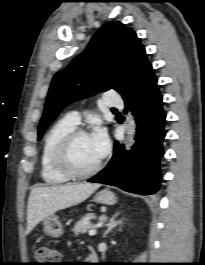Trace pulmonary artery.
<instances>
[{
    "label": "pulmonary artery",
    "instance_id": "e3ab8cb5",
    "mask_svg": "<svg viewBox=\"0 0 205 265\" xmlns=\"http://www.w3.org/2000/svg\"><path fill=\"white\" fill-rule=\"evenodd\" d=\"M105 105L110 108H122L124 103L122 98L116 92H108L105 96ZM66 118L73 124L78 125L80 122L79 113L76 111L69 112Z\"/></svg>",
    "mask_w": 205,
    "mask_h": 265
}]
</instances>
